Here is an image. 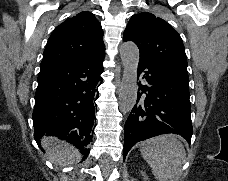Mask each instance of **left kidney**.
Masks as SVG:
<instances>
[{"mask_svg": "<svg viewBox=\"0 0 228 181\" xmlns=\"http://www.w3.org/2000/svg\"><path fill=\"white\" fill-rule=\"evenodd\" d=\"M141 175H142V177H144V181H148V179H147L145 173H143V171H141Z\"/></svg>", "mask_w": 228, "mask_h": 181, "instance_id": "left-kidney-1", "label": "left kidney"}]
</instances>
